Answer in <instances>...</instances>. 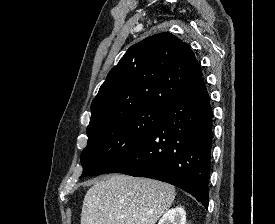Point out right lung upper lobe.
<instances>
[{"label": "right lung upper lobe", "instance_id": "right-lung-upper-lobe-1", "mask_svg": "<svg viewBox=\"0 0 275 224\" xmlns=\"http://www.w3.org/2000/svg\"><path fill=\"white\" fill-rule=\"evenodd\" d=\"M202 78L191 48L170 33L131 46L113 67L91 104L87 128L145 107L167 109Z\"/></svg>", "mask_w": 275, "mask_h": 224}]
</instances>
